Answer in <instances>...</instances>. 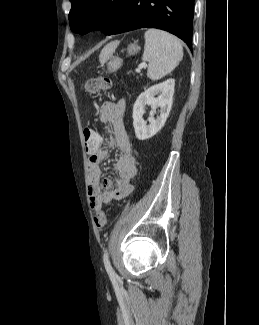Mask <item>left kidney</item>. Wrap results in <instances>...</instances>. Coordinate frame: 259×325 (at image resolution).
<instances>
[{
    "label": "left kidney",
    "instance_id": "left-kidney-1",
    "mask_svg": "<svg viewBox=\"0 0 259 325\" xmlns=\"http://www.w3.org/2000/svg\"><path fill=\"white\" fill-rule=\"evenodd\" d=\"M175 80L168 79L160 84L151 86L139 95L133 106V127L139 140L154 136L165 124L173 102ZM158 97H155V95ZM146 105L152 110L148 118L149 125L143 119ZM160 108V115L154 119L153 114Z\"/></svg>",
    "mask_w": 259,
    "mask_h": 325
}]
</instances>
